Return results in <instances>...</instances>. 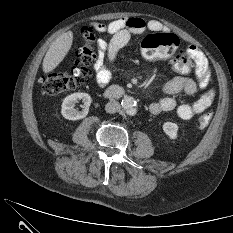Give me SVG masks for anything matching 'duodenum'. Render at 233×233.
Here are the masks:
<instances>
[{"label": "duodenum", "mask_w": 233, "mask_h": 233, "mask_svg": "<svg viewBox=\"0 0 233 233\" xmlns=\"http://www.w3.org/2000/svg\"><path fill=\"white\" fill-rule=\"evenodd\" d=\"M123 94H124V90L118 86H112L104 92V96L109 99L118 98Z\"/></svg>", "instance_id": "1"}]
</instances>
